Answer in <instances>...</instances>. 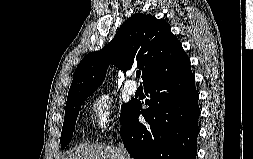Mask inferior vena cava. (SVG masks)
<instances>
[{"label":"inferior vena cava","mask_w":253,"mask_h":159,"mask_svg":"<svg viewBox=\"0 0 253 159\" xmlns=\"http://www.w3.org/2000/svg\"><path fill=\"white\" fill-rule=\"evenodd\" d=\"M118 151L120 152V159H129V155L127 154L126 149L122 143H119Z\"/></svg>","instance_id":"1"}]
</instances>
